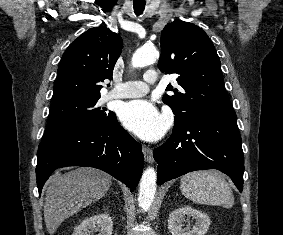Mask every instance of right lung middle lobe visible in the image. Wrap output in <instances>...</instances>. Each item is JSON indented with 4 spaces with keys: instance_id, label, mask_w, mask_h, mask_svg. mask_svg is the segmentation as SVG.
I'll list each match as a JSON object with an SVG mask.
<instances>
[{
    "instance_id": "obj_1",
    "label": "right lung middle lobe",
    "mask_w": 283,
    "mask_h": 235,
    "mask_svg": "<svg viewBox=\"0 0 283 235\" xmlns=\"http://www.w3.org/2000/svg\"><path fill=\"white\" fill-rule=\"evenodd\" d=\"M98 97H72L53 102L42 142L80 129L93 128L107 121L113 112L106 113L97 105Z\"/></svg>"
}]
</instances>
